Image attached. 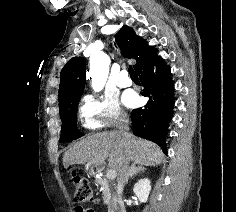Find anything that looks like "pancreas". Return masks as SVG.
Returning a JSON list of instances; mask_svg holds the SVG:
<instances>
[{"instance_id":"1","label":"pancreas","mask_w":236,"mask_h":212,"mask_svg":"<svg viewBox=\"0 0 236 212\" xmlns=\"http://www.w3.org/2000/svg\"><path fill=\"white\" fill-rule=\"evenodd\" d=\"M96 182L102 187L104 204L109 205L112 199L109 181L106 178H99L96 179Z\"/></svg>"}]
</instances>
